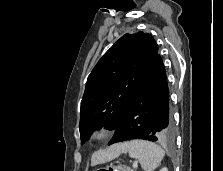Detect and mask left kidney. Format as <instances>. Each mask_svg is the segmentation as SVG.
Returning a JSON list of instances; mask_svg holds the SVG:
<instances>
[{
    "label": "left kidney",
    "mask_w": 223,
    "mask_h": 171,
    "mask_svg": "<svg viewBox=\"0 0 223 171\" xmlns=\"http://www.w3.org/2000/svg\"><path fill=\"white\" fill-rule=\"evenodd\" d=\"M160 171H168L167 168H162Z\"/></svg>",
    "instance_id": "left-kidney-1"
}]
</instances>
